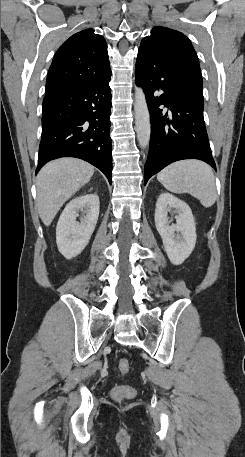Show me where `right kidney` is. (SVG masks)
Masks as SVG:
<instances>
[{
  "instance_id": "ca27d5eb",
  "label": "right kidney",
  "mask_w": 245,
  "mask_h": 457,
  "mask_svg": "<svg viewBox=\"0 0 245 457\" xmlns=\"http://www.w3.org/2000/svg\"><path fill=\"white\" fill-rule=\"evenodd\" d=\"M98 194L76 196L66 204L56 226V243L59 251L69 259L80 255L90 241L99 216ZM81 210L80 222L76 220Z\"/></svg>"
}]
</instances>
